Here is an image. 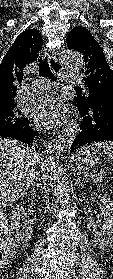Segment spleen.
<instances>
[{
  "mask_svg": "<svg viewBox=\"0 0 113 279\" xmlns=\"http://www.w3.org/2000/svg\"><path fill=\"white\" fill-rule=\"evenodd\" d=\"M91 146L97 147L99 150H103L108 159L113 162V142H95Z\"/></svg>",
  "mask_w": 113,
  "mask_h": 279,
  "instance_id": "1",
  "label": "spleen"
}]
</instances>
